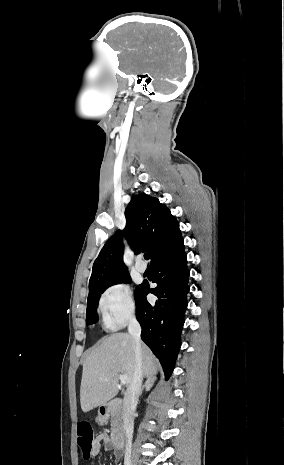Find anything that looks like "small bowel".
Wrapping results in <instances>:
<instances>
[{
    "label": "small bowel",
    "mask_w": 284,
    "mask_h": 465,
    "mask_svg": "<svg viewBox=\"0 0 284 465\" xmlns=\"http://www.w3.org/2000/svg\"><path fill=\"white\" fill-rule=\"evenodd\" d=\"M104 447L105 449H109L110 447V441H109V436L106 433L99 434L93 444V456H96L101 448Z\"/></svg>",
    "instance_id": "obj_1"
}]
</instances>
